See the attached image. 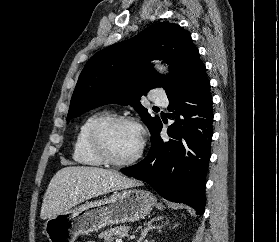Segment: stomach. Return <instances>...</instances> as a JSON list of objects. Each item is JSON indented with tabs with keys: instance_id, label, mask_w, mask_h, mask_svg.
I'll list each match as a JSON object with an SVG mask.
<instances>
[{
	"instance_id": "1",
	"label": "stomach",
	"mask_w": 279,
	"mask_h": 242,
	"mask_svg": "<svg viewBox=\"0 0 279 242\" xmlns=\"http://www.w3.org/2000/svg\"><path fill=\"white\" fill-rule=\"evenodd\" d=\"M156 204L155 197L140 189L116 191L101 200L86 201L47 219L44 233L50 242H74L102 228L135 222L148 215Z\"/></svg>"
}]
</instances>
